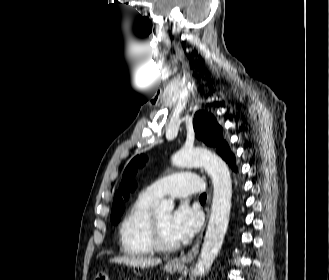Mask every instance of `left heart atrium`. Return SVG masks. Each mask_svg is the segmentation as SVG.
Listing matches in <instances>:
<instances>
[{"label": "left heart atrium", "mask_w": 329, "mask_h": 280, "mask_svg": "<svg viewBox=\"0 0 329 280\" xmlns=\"http://www.w3.org/2000/svg\"><path fill=\"white\" fill-rule=\"evenodd\" d=\"M201 223L200 211L182 203L171 214L168 229L176 242L185 241L199 230Z\"/></svg>", "instance_id": "39dd6f15"}]
</instances>
